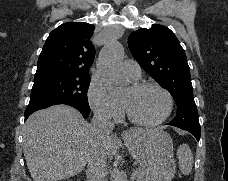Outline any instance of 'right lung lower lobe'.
Returning <instances> with one entry per match:
<instances>
[{
    "mask_svg": "<svg viewBox=\"0 0 228 181\" xmlns=\"http://www.w3.org/2000/svg\"><path fill=\"white\" fill-rule=\"evenodd\" d=\"M55 104H66V105H70V104L62 103V102H52V103H43V104L29 105L27 107L26 111H25V120L33 112H35V111H37L39 109L47 108V107L52 106V105H55ZM70 106H72V105H70ZM72 107H74V106H72ZM77 110H79V109H77ZM79 111L81 112V114L83 115L84 118H87L89 116V113L90 112H85V111H82V110H79Z\"/></svg>",
    "mask_w": 228,
    "mask_h": 181,
    "instance_id": "98d812e1",
    "label": "right lung lower lobe"
}]
</instances>
